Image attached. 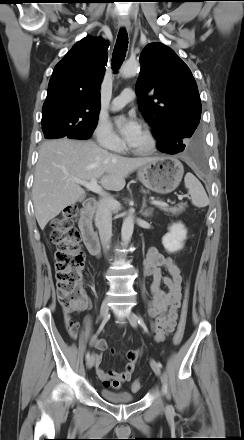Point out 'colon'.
<instances>
[{"label":"colon","mask_w":244,"mask_h":440,"mask_svg":"<svg viewBox=\"0 0 244 440\" xmlns=\"http://www.w3.org/2000/svg\"><path fill=\"white\" fill-rule=\"evenodd\" d=\"M77 214V206H67L58 218L51 224L50 239L56 246L55 266L57 278V297L65 317L72 321L73 316L82 311L87 305V298L83 287V273L85 270V255L79 247V233L73 227V220ZM190 296V282H185L184 296L177 329L173 337L174 345H179L183 339L186 327L188 304ZM74 326V325H73ZM105 387L119 388L117 380H107ZM140 380L133 381L132 391L140 389Z\"/></svg>","instance_id":"colon-1"}]
</instances>
